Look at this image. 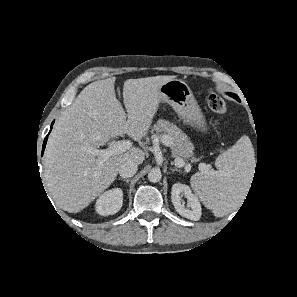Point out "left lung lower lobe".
I'll use <instances>...</instances> for the list:
<instances>
[{
	"label": "left lung lower lobe",
	"mask_w": 297,
	"mask_h": 297,
	"mask_svg": "<svg viewBox=\"0 0 297 297\" xmlns=\"http://www.w3.org/2000/svg\"><path fill=\"white\" fill-rule=\"evenodd\" d=\"M229 95H230V96H232V94H229ZM235 99L239 101V98H238V96H237V97H235Z\"/></svg>",
	"instance_id": "left-lung-lower-lobe-1"
}]
</instances>
